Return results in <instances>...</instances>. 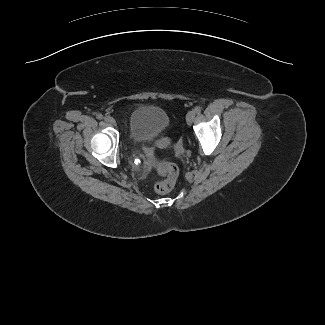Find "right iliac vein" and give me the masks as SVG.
<instances>
[{
    "label": "right iliac vein",
    "instance_id": "63e3f726",
    "mask_svg": "<svg viewBox=\"0 0 325 325\" xmlns=\"http://www.w3.org/2000/svg\"><path fill=\"white\" fill-rule=\"evenodd\" d=\"M104 120L109 124V125H115L116 121L113 117L111 116H105Z\"/></svg>",
    "mask_w": 325,
    "mask_h": 325
}]
</instances>
